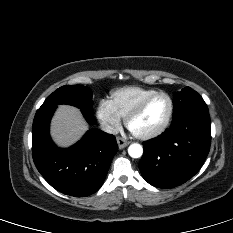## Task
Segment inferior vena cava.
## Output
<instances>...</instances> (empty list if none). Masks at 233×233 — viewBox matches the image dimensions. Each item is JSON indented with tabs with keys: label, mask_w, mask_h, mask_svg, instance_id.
Listing matches in <instances>:
<instances>
[{
	"label": "inferior vena cava",
	"mask_w": 233,
	"mask_h": 233,
	"mask_svg": "<svg viewBox=\"0 0 233 233\" xmlns=\"http://www.w3.org/2000/svg\"><path fill=\"white\" fill-rule=\"evenodd\" d=\"M101 130L109 133V134H118V129L116 127H113L107 123H102L101 124Z\"/></svg>",
	"instance_id": "inferior-vena-cava-1"
}]
</instances>
